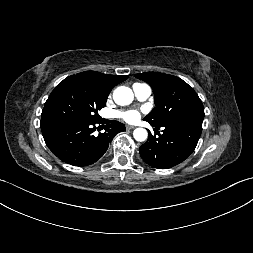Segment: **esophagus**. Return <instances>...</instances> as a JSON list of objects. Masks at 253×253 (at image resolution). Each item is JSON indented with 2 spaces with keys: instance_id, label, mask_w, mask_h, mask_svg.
Wrapping results in <instances>:
<instances>
[{
  "instance_id": "34e87169",
  "label": "esophagus",
  "mask_w": 253,
  "mask_h": 253,
  "mask_svg": "<svg viewBox=\"0 0 253 253\" xmlns=\"http://www.w3.org/2000/svg\"><path fill=\"white\" fill-rule=\"evenodd\" d=\"M134 128H135V126H131V125H127V126H126V129H127V130H132V129H134Z\"/></svg>"
}]
</instances>
